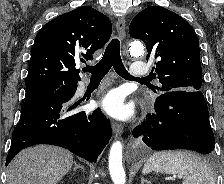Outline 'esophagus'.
Returning a JSON list of instances; mask_svg holds the SVG:
<instances>
[{"instance_id": "obj_1", "label": "esophagus", "mask_w": 224, "mask_h": 184, "mask_svg": "<svg viewBox=\"0 0 224 184\" xmlns=\"http://www.w3.org/2000/svg\"><path fill=\"white\" fill-rule=\"evenodd\" d=\"M125 29H126L125 17L120 16L116 23V30H117L118 37L120 40H123L125 38ZM111 126H112L113 132L116 136H119L122 134L123 127L119 123L113 121L111 123Z\"/></svg>"}]
</instances>
